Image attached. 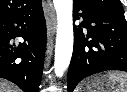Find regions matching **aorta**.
I'll use <instances>...</instances> for the list:
<instances>
[{
    "instance_id": "1",
    "label": "aorta",
    "mask_w": 127,
    "mask_h": 92,
    "mask_svg": "<svg viewBox=\"0 0 127 92\" xmlns=\"http://www.w3.org/2000/svg\"><path fill=\"white\" fill-rule=\"evenodd\" d=\"M53 3L57 15L54 71L57 77H62L70 64L73 52V1L53 0Z\"/></svg>"
}]
</instances>
